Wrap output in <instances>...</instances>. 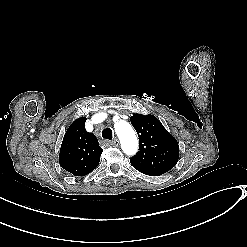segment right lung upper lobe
I'll use <instances>...</instances> for the list:
<instances>
[{
    "label": "right lung upper lobe",
    "mask_w": 247,
    "mask_h": 247,
    "mask_svg": "<svg viewBox=\"0 0 247 247\" xmlns=\"http://www.w3.org/2000/svg\"><path fill=\"white\" fill-rule=\"evenodd\" d=\"M85 117L78 118L66 131L59 154L63 169L75 176H85L99 164L103 151L97 138L85 130Z\"/></svg>",
    "instance_id": "obj_1"
}]
</instances>
